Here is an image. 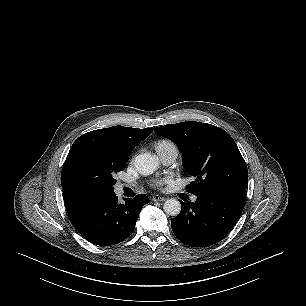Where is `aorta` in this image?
<instances>
[{
    "mask_svg": "<svg viewBox=\"0 0 306 306\" xmlns=\"http://www.w3.org/2000/svg\"><path fill=\"white\" fill-rule=\"evenodd\" d=\"M158 159L150 153H142L135 157L134 166L141 175H150L157 170ZM164 211L170 216H177L181 211L178 200L171 198L165 201Z\"/></svg>",
    "mask_w": 306,
    "mask_h": 306,
    "instance_id": "aorta-1",
    "label": "aorta"
}]
</instances>
